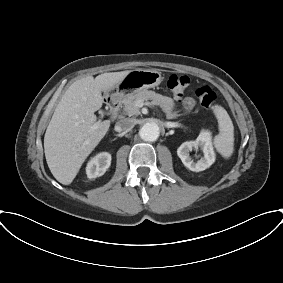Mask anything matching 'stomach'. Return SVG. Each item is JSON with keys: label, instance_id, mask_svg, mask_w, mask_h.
Wrapping results in <instances>:
<instances>
[{"label": "stomach", "instance_id": "1", "mask_svg": "<svg viewBox=\"0 0 283 283\" xmlns=\"http://www.w3.org/2000/svg\"><path fill=\"white\" fill-rule=\"evenodd\" d=\"M162 81L161 73L154 69H136L130 73L111 90L118 96L126 93H137L142 90L157 87Z\"/></svg>", "mask_w": 283, "mask_h": 283}]
</instances>
